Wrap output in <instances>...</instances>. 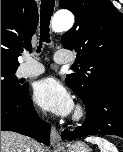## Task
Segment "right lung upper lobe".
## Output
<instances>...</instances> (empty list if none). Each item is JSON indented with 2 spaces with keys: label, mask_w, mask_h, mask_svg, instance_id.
I'll use <instances>...</instances> for the list:
<instances>
[{
  "label": "right lung upper lobe",
  "mask_w": 123,
  "mask_h": 152,
  "mask_svg": "<svg viewBox=\"0 0 123 152\" xmlns=\"http://www.w3.org/2000/svg\"><path fill=\"white\" fill-rule=\"evenodd\" d=\"M37 24L34 0H1V68H18L17 57L31 48Z\"/></svg>",
  "instance_id": "right-lung-upper-lobe-1"
}]
</instances>
